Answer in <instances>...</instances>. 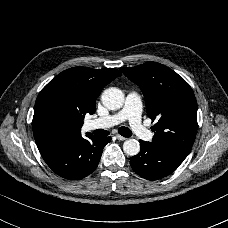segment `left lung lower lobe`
Masks as SVG:
<instances>
[{"instance_id":"0a47b994","label":"left lung lower lobe","mask_w":228,"mask_h":228,"mask_svg":"<svg viewBox=\"0 0 228 228\" xmlns=\"http://www.w3.org/2000/svg\"><path fill=\"white\" fill-rule=\"evenodd\" d=\"M140 153L131 157L132 169L142 178L158 180L171 174L188 154L157 148L140 140Z\"/></svg>"}]
</instances>
